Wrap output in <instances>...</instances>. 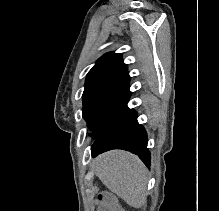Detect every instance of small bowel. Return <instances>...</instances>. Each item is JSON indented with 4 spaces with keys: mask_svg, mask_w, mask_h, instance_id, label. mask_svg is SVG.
<instances>
[{
    "mask_svg": "<svg viewBox=\"0 0 219 211\" xmlns=\"http://www.w3.org/2000/svg\"><path fill=\"white\" fill-rule=\"evenodd\" d=\"M99 211H122L121 208L117 205L115 198L108 193H104L99 198Z\"/></svg>",
    "mask_w": 219,
    "mask_h": 211,
    "instance_id": "c3829d8e",
    "label": "small bowel"
}]
</instances>
